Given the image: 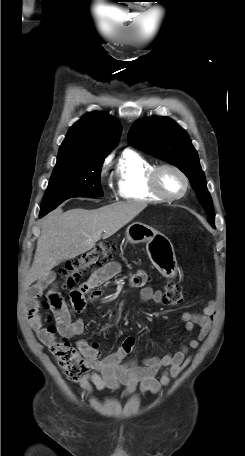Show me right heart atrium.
I'll use <instances>...</instances> for the list:
<instances>
[{"label":"right heart atrium","mask_w":245,"mask_h":456,"mask_svg":"<svg viewBox=\"0 0 245 456\" xmlns=\"http://www.w3.org/2000/svg\"><path fill=\"white\" fill-rule=\"evenodd\" d=\"M105 171V164L103 165L102 169H101V174H103Z\"/></svg>","instance_id":"right-heart-atrium-1"}]
</instances>
